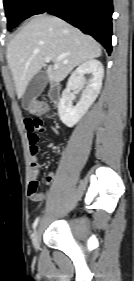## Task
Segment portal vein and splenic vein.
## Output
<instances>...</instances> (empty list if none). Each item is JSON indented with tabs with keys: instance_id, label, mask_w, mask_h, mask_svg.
I'll return each mask as SVG.
<instances>
[{
	"instance_id": "18ae733b",
	"label": "portal vein and splenic vein",
	"mask_w": 134,
	"mask_h": 281,
	"mask_svg": "<svg viewBox=\"0 0 134 281\" xmlns=\"http://www.w3.org/2000/svg\"><path fill=\"white\" fill-rule=\"evenodd\" d=\"M50 61H51V58H50V57H46V58H45V62H46V63H49ZM54 67L57 68L58 65H57V64H54Z\"/></svg>"
}]
</instances>
